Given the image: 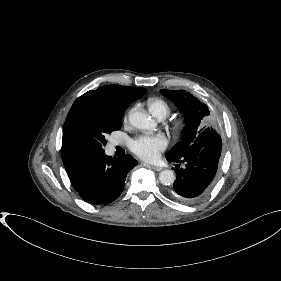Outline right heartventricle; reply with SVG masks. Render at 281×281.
Instances as JSON below:
<instances>
[{"mask_svg": "<svg viewBox=\"0 0 281 281\" xmlns=\"http://www.w3.org/2000/svg\"><path fill=\"white\" fill-rule=\"evenodd\" d=\"M147 106L151 114L160 120L166 118L171 112L170 105L160 98H150Z\"/></svg>", "mask_w": 281, "mask_h": 281, "instance_id": "obj_1", "label": "right heart ventricle"}]
</instances>
